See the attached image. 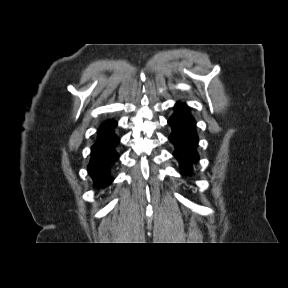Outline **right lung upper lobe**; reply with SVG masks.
<instances>
[{
  "label": "right lung upper lobe",
  "instance_id": "right-lung-upper-lobe-1",
  "mask_svg": "<svg viewBox=\"0 0 288 288\" xmlns=\"http://www.w3.org/2000/svg\"><path fill=\"white\" fill-rule=\"evenodd\" d=\"M117 123L114 120H108L105 123H103L98 130V140L101 138L108 137L110 133L113 131V129L116 127Z\"/></svg>",
  "mask_w": 288,
  "mask_h": 288
}]
</instances>
